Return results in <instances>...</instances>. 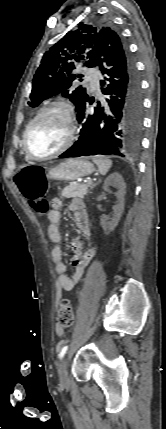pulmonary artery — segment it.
Masks as SVG:
<instances>
[{
  "instance_id": "obj_1",
  "label": "pulmonary artery",
  "mask_w": 166,
  "mask_h": 429,
  "mask_svg": "<svg viewBox=\"0 0 166 429\" xmlns=\"http://www.w3.org/2000/svg\"><path fill=\"white\" fill-rule=\"evenodd\" d=\"M86 80L89 83V86L92 90L98 91L99 90V74L93 73L90 71L87 76Z\"/></svg>"
}]
</instances>
